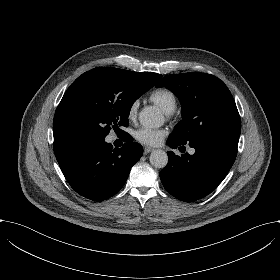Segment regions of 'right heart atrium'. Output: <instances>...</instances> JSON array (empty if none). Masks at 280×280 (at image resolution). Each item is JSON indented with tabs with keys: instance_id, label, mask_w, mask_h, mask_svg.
Here are the masks:
<instances>
[{
	"instance_id": "d8ad5b80",
	"label": "right heart atrium",
	"mask_w": 280,
	"mask_h": 280,
	"mask_svg": "<svg viewBox=\"0 0 280 280\" xmlns=\"http://www.w3.org/2000/svg\"><path fill=\"white\" fill-rule=\"evenodd\" d=\"M137 107H138V104L137 102H132L128 108H127V118L128 120H134L136 118V115H137Z\"/></svg>"
}]
</instances>
